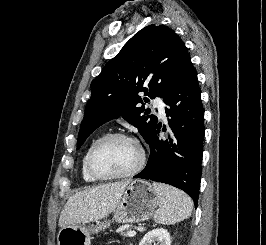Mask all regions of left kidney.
<instances>
[{"mask_svg": "<svg viewBox=\"0 0 266 245\" xmlns=\"http://www.w3.org/2000/svg\"><path fill=\"white\" fill-rule=\"evenodd\" d=\"M171 245V239L168 231L166 229H153L144 235L142 241L139 245Z\"/></svg>", "mask_w": 266, "mask_h": 245, "instance_id": "obj_1", "label": "left kidney"}]
</instances>
